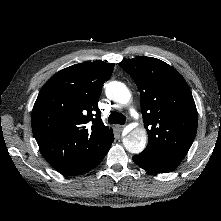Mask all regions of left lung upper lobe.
I'll list each match as a JSON object with an SVG mask.
<instances>
[{
	"mask_svg": "<svg viewBox=\"0 0 221 221\" xmlns=\"http://www.w3.org/2000/svg\"><path fill=\"white\" fill-rule=\"evenodd\" d=\"M119 66L140 91L149 140L143 153L180 163L194 141L198 124L186 81L170 65L152 57H136Z\"/></svg>",
	"mask_w": 221,
	"mask_h": 221,
	"instance_id": "left-lung-upper-lobe-1",
	"label": "left lung upper lobe"
}]
</instances>
